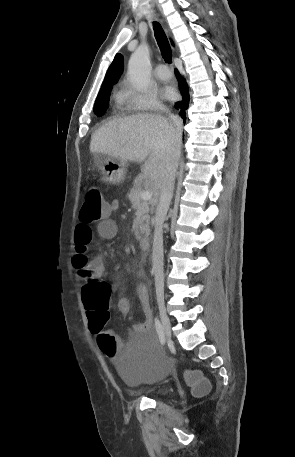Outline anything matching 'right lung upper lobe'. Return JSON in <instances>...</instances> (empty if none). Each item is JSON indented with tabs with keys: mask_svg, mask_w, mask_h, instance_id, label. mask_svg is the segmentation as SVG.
<instances>
[{
	"mask_svg": "<svg viewBox=\"0 0 295 457\" xmlns=\"http://www.w3.org/2000/svg\"><path fill=\"white\" fill-rule=\"evenodd\" d=\"M123 70V56L121 54H116L112 64L110 65L104 82L102 84V88L112 87V85L118 80L119 76L121 75Z\"/></svg>",
	"mask_w": 295,
	"mask_h": 457,
	"instance_id": "1",
	"label": "right lung upper lobe"
}]
</instances>
